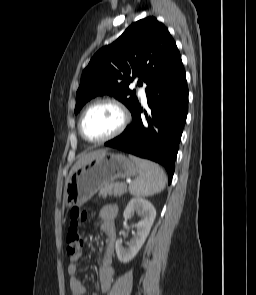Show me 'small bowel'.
<instances>
[{
	"label": "small bowel",
	"instance_id": "small-bowel-1",
	"mask_svg": "<svg viewBox=\"0 0 256 295\" xmlns=\"http://www.w3.org/2000/svg\"><path fill=\"white\" fill-rule=\"evenodd\" d=\"M117 212L118 211L115 206L108 205L103 207L99 213V217L101 219V229L107 237L106 256L99 268V289L101 293H106L109 291L116 276V271L111 264L110 257L113 254L115 248V218L117 216ZM80 256V254L74 256L68 265V274L70 276L69 286L72 295H85L86 293L85 286L76 277L78 270L77 261ZM94 295H99V293Z\"/></svg>",
	"mask_w": 256,
	"mask_h": 295
}]
</instances>
